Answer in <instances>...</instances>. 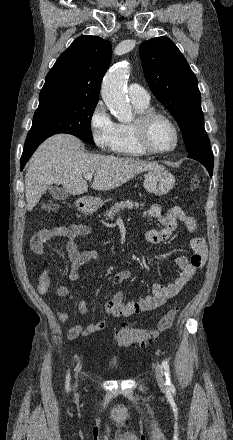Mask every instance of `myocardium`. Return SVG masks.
<instances>
[{
  "mask_svg": "<svg viewBox=\"0 0 233 440\" xmlns=\"http://www.w3.org/2000/svg\"><path fill=\"white\" fill-rule=\"evenodd\" d=\"M156 119L165 120L173 129L175 134V142L170 149L167 150H158L155 149L149 141V129L152 122ZM132 130L134 132L136 141L139 147L146 153L150 155H164L173 152L177 149L180 142V132L178 126L174 122V120L168 115L156 111V110H147L142 113H139L136 119L131 124Z\"/></svg>",
  "mask_w": 233,
  "mask_h": 440,
  "instance_id": "1",
  "label": "myocardium"
}]
</instances>
